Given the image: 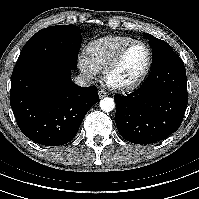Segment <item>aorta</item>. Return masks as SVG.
Returning a JSON list of instances; mask_svg holds the SVG:
<instances>
[{
  "label": "aorta",
  "instance_id": "aorta-1",
  "mask_svg": "<svg viewBox=\"0 0 199 199\" xmlns=\"http://www.w3.org/2000/svg\"><path fill=\"white\" fill-rule=\"evenodd\" d=\"M100 108L104 112H110L115 108V102L113 98L105 97L100 101Z\"/></svg>",
  "mask_w": 199,
  "mask_h": 199
}]
</instances>
